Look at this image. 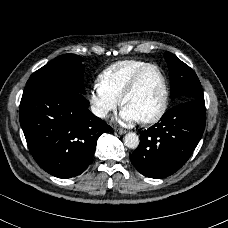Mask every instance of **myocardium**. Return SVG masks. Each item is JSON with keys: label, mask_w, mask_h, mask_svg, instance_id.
<instances>
[{"label": "myocardium", "mask_w": 228, "mask_h": 228, "mask_svg": "<svg viewBox=\"0 0 228 228\" xmlns=\"http://www.w3.org/2000/svg\"><path fill=\"white\" fill-rule=\"evenodd\" d=\"M150 69H156L160 73L162 80H163V84H164L165 97H164V102H163L162 107L155 115H153L149 118L140 120V122L143 124H152V123H156V122L160 121L164 117V115L166 114V112L169 108L170 87H169L167 75L164 72V70L162 69V67L159 66L158 64L150 63V64L142 67L141 69H139L132 77L130 83L128 84V86L126 87V89L124 90V92L120 98V103L122 106H124L126 99L136 91L143 75Z\"/></svg>", "instance_id": "1"}]
</instances>
